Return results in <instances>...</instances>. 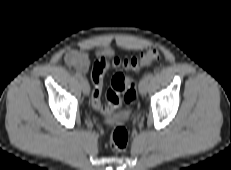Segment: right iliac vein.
I'll return each mask as SVG.
<instances>
[{
	"label": "right iliac vein",
	"mask_w": 231,
	"mask_h": 170,
	"mask_svg": "<svg viewBox=\"0 0 231 170\" xmlns=\"http://www.w3.org/2000/svg\"><path fill=\"white\" fill-rule=\"evenodd\" d=\"M80 85L82 88V91L85 95H89L90 93V85L86 79H80Z\"/></svg>",
	"instance_id": "obj_1"
}]
</instances>
